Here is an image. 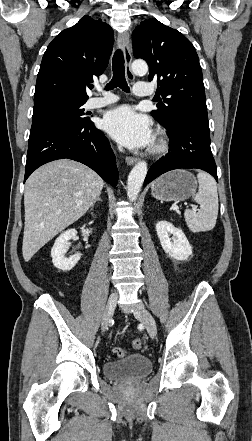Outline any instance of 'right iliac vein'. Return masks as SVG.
Wrapping results in <instances>:
<instances>
[{"label": "right iliac vein", "mask_w": 252, "mask_h": 441, "mask_svg": "<svg viewBox=\"0 0 252 441\" xmlns=\"http://www.w3.org/2000/svg\"><path fill=\"white\" fill-rule=\"evenodd\" d=\"M117 300H118L117 292H112L109 299H108V302H107V305H106V308L104 311V315H103V319H102V331H105L108 327L110 318L112 317L114 310L116 308Z\"/></svg>", "instance_id": "1"}]
</instances>
